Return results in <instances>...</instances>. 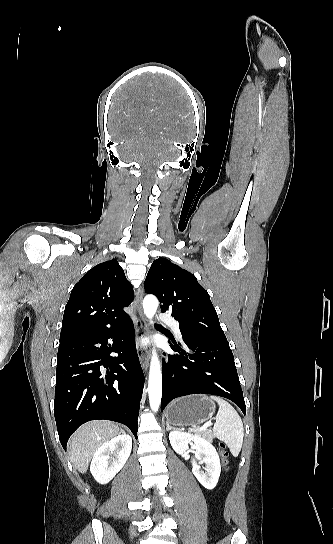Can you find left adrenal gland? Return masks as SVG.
Returning <instances> with one entry per match:
<instances>
[{
  "instance_id": "left-adrenal-gland-1",
  "label": "left adrenal gland",
  "mask_w": 333,
  "mask_h": 544,
  "mask_svg": "<svg viewBox=\"0 0 333 544\" xmlns=\"http://www.w3.org/2000/svg\"><path fill=\"white\" fill-rule=\"evenodd\" d=\"M166 425H167V428H166L167 431L172 429V427L169 425V422H166Z\"/></svg>"
}]
</instances>
